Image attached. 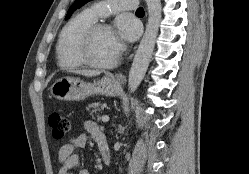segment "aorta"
<instances>
[{
    "instance_id": "1",
    "label": "aorta",
    "mask_w": 249,
    "mask_h": 174,
    "mask_svg": "<svg viewBox=\"0 0 249 174\" xmlns=\"http://www.w3.org/2000/svg\"><path fill=\"white\" fill-rule=\"evenodd\" d=\"M146 4L148 22L129 71L128 87L130 92H134L138 88L145 76L152 58L161 21V0H146Z\"/></svg>"
}]
</instances>
